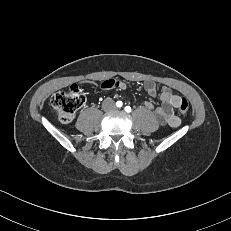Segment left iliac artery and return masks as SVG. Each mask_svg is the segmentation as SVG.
<instances>
[{
  "label": "left iliac artery",
  "mask_w": 231,
  "mask_h": 231,
  "mask_svg": "<svg viewBox=\"0 0 231 231\" xmlns=\"http://www.w3.org/2000/svg\"><path fill=\"white\" fill-rule=\"evenodd\" d=\"M125 111L128 112V113L131 112V107L126 106V107H125Z\"/></svg>",
  "instance_id": "left-iliac-artery-1"
}]
</instances>
